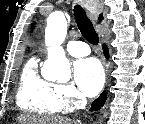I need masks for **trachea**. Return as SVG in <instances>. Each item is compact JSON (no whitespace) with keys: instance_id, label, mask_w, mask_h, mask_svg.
<instances>
[{"instance_id":"1","label":"trachea","mask_w":145,"mask_h":124,"mask_svg":"<svg viewBox=\"0 0 145 124\" xmlns=\"http://www.w3.org/2000/svg\"><path fill=\"white\" fill-rule=\"evenodd\" d=\"M74 16L82 36L89 43L97 45L99 39L93 24L87 17L85 10L78 4L74 7Z\"/></svg>"}]
</instances>
